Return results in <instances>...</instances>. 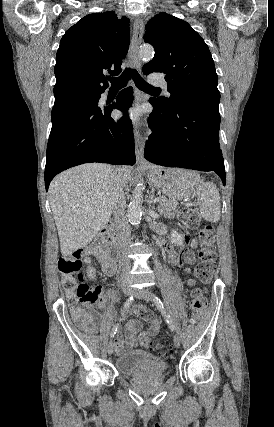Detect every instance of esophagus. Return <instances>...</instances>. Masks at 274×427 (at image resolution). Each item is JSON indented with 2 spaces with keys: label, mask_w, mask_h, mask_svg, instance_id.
Here are the masks:
<instances>
[{
  "label": "esophagus",
  "mask_w": 274,
  "mask_h": 427,
  "mask_svg": "<svg viewBox=\"0 0 274 427\" xmlns=\"http://www.w3.org/2000/svg\"><path fill=\"white\" fill-rule=\"evenodd\" d=\"M143 34H144L143 20L137 17L133 24V38H132V43H131L130 53H129V63L131 66L137 69L141 68L140 62L138 60V51L142 42ZM136 100H138V97H136ZM134 137H135V153H136L137 162L140 164L149 165V163L144 159L145 139L138 128L135 129Z\"/></svg>",
  "instance_id": "1"
}]
</instances>
